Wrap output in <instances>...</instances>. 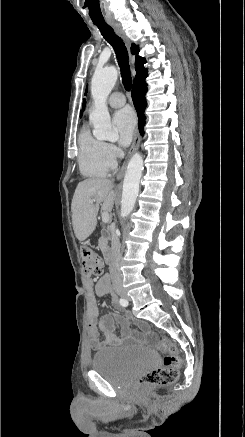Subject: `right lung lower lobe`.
I'll return each instance as SVG.
<instances>
[{
  "label": "right lung lower lobe",
  "instance_id": "right-lung-lower-lobe-1",
  "mask_svg": "<svg viewBox=\"0 0 245 437\" xmlns=\"http://www.w3.org/2000/svg\"><path fill=\"white\" fill-rule=\"evenodd\" d=\"M147 84L145 83V79L141 81H137L133 83L132 88V99L135 106V109L137 111L138 115V125H139V131L141 135H143L144 131V125H145V108H146V99L145 94L147 92Z\"/></svg>",
  "mask_w": 245,
  "mask_h": 437
}]
</instances>
